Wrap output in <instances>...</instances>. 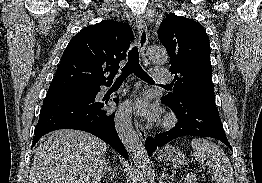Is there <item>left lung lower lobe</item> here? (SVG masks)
I'll return each instance as SVG.
<instances>
[{"instance_id":"1","label":"left lung lower lobe","mask_w":262,"mask_h":183,"mask_svg":"<svg viewBox=\"0 0 262 183\" xmlns=\"http://www.w3.org/2000/svg\"><path fill=\"white\" fill-rule=\"evenodd\" d=\"M171 109L175 113L178 122L171 130L147 138L145 147L149 156L158 147L186 135L212 137L222 141L232 149L226 138L216 107L179 106Z\"/></svg>"}]
</instances>
